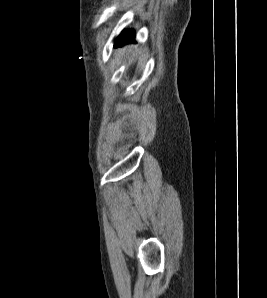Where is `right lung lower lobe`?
<instances>
[{"mask_svg":"<svg viewBox=\"0 0 267 298\" xmlns=\"http://www.w3.org/2000/svg\"><path fill=\"white\" fill-rule=\"evenodd\" d=\"M134 32L131 30V31H123L119 37L116 39L115 41V45L118 46V45H122L124 43H127V42H132L134 40Z\"/></svg>","mask_w":267,"mask_h":298,"instance_id":"1","label":"right lung lower lobe"}]
</instances>
